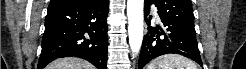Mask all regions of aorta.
Here are the masks:
<instances>
[{
	"label": "aorta",
	"mask_w": 246,
	"mask_h": 69,
	"mask_svg": "<svg viewBox=\"0 0 246 69\" xmlns=\"http://www.w3.org/2000/svg\"><path fill=\"white\" fill-rule=\"evenodd\" d=\"M143 0H127L129 45L133 55L139 53L143 41Z\"/></svg>",
	"instance_id": "762f6f07"
}]
</instances>
